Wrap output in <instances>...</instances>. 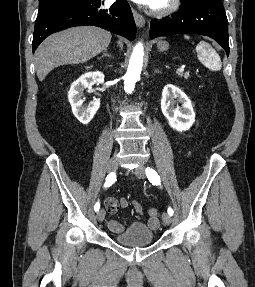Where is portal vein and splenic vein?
Segmentation results:
<instances>
[{"instance_id":"portal-vein-and-splenic-vein-1","label":"portal vein and splenic vein","mask_w":255,"mask_h":287,"mask_svg":"<svg viewBox=\"0 0 255 287\" xmlns=\"http://www.w3.org/2000/svg\"><path fill=\"white\" fill-rule=\"evenodd\" d=\"M177 72H184V66H181V68H179V70H177Z\"/></svg>"}]
</instances>
